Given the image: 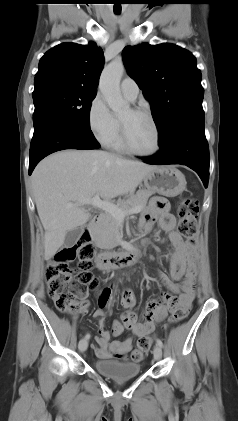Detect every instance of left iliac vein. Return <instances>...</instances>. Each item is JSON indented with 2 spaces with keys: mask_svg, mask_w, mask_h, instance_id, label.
Returning <instances> with one entry per match:
<instances>
[{
  "mask_svg": "<svg viewBox=\"0 0 238 421\" xmlns=\"http://www.w3.org/2000/svg\"><path fill=\"white\" fill-rule=\"evenodd\" d=\"M153 354H154V358L156 360L161 359V357H162V349H161V347L158 344H156V346L154 347Z\"/></svg>",
  "mask_w": 238,
  "mask_h": 421,
  "instance_id": "left-iliac-vein-1",
  "label": "left iliac vein"
}]
</instances>
